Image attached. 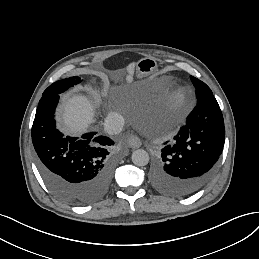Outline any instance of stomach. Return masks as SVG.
Listing matches in <instances>:
<instances>
[{
	"label": "stomach",
	"mask_w": 259,
	"mask_h": 259,
	"mask_svg": "<svg viewBox=\"0 0 259 259\" xmlns=\"http://www.w3.org/2000/svg\"><path fill=\"white\" fill-rule=\"evenodd\" d=\"M157 69V62L152 57L140 59L136 64V71L140 76L152 74Z\"/></svg>",
	"instance_id": "1"
}]
</instances>
